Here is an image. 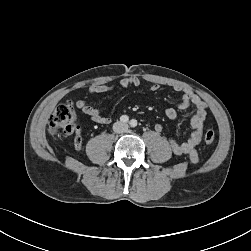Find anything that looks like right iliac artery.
Segmentation results:
<instances>
[{
  "label": "right iliac artery",
  "instance_id": "1",
  "mask_svg": "<svg viewBox=\"0 0 251 251\" xmlns=\"http://www.w3.org/2000/svg\"><path fill=\"white\" fill-rule=\"evenodd\" d=\"M121 122L127 123L129 121V117L127 115H122L120 117Z\"/></svg>",
  "mask_w": 251,
  "mask_h": 251
}]
</instances>
